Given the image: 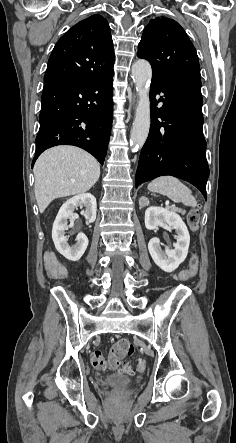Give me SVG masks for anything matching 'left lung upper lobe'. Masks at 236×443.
Returning a JSON list of instances; mask_svg holds the SVG:
<instances>
[{"label":"left lung upper lobe","mask_w":236,"mask_h":443,"mask_svg":"<svg viewBox=\"0 0 236 443\" xmlns=\"http://www.w3.org/2000/svg\"><path fill=\"white\" fill-rule=\"evenodd\" d=\"M137 55L150 62L152 78H201L196 50L184 29L172 19L157 17L149 22Z\"/></svg>","instance_id":"5c2ea615"}]
</instances>
